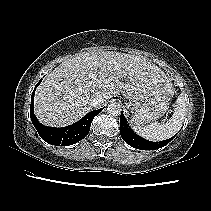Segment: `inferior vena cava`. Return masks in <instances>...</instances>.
<instances>
[{"label":"inferior vena cava","instance_id":"602c4592","mask_svg":"<svg viewBox=\"0 0 211 211\" xmlns=\"http://www.w3.org/2000/svg\"><path fill=\"white\" fill-rule=\"evenodd\" d=\"M102 101H103L102 96H101V95H96V96H94V97L90 100L89 105H90L91 107L95 108V107L100 106L101 103H102Z\"/></svg>","mask_w":211,"mask_h":211}]
</instances>
